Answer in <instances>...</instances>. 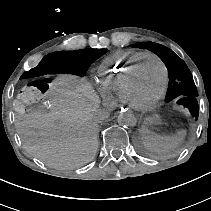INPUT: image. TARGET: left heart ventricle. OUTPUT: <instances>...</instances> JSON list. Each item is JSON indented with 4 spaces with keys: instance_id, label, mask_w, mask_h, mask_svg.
Returning <instances> with one entry per match:
<instances>
[{
    "instance_id": "obj_1",
    "label": "left heart ventricle",
    "mask_w": 211,
    "mask_h": 211,
    "mask_svg": "<svg viewBox=\"0 0 211 211\" xmlns=\"http://www.w3.org/2000/svg\"><path fill=\"white\" fill-rule=\"evenodd\" d=\"M162 83L163 74L160 65L153 59H147L136 71L131 95L136 101L146 103L158 95Z\"/></svg>"
}]
</instances>
